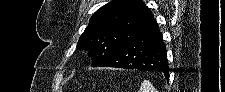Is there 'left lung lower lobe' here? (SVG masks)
<instances>
[{"mask_svg": "<svg viewBox=\"0 0 225 92\" xmlns=\"http://www.w3.org/2000/svg\"><path fill=\"white\" fill-rule=\"evenodd\" d=\"M98 66L162 71L169 80L167 53L156 20H150L132 40Z\"/></svg>", "mask_w": 225, "mask_h": 92, "instance_id": "left-lung-lower-lobe-1", "label": "left lung lower lobe"}]
</instances>
